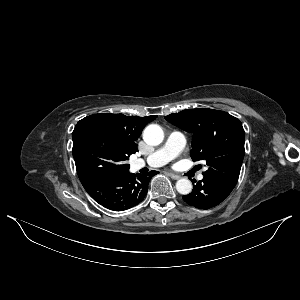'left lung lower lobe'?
<instances>
[{"label": "left lung lower lobe", "instance_id": "1", "mask_svg": "<svg viewBox=\"0 0 300 300\" xmlns=\"http://www.w3.org/2000/svg\"><path fill=\"white\" fill-rule=\"evenodd\" d=\"M190 194L183 196V200L196 208L210 209L221 203L231 193L234 185L213 177L204 176L202 181L194 184Z\"/></svg>", "mask_w": 300, "mask_h": 300}]
</instances>
